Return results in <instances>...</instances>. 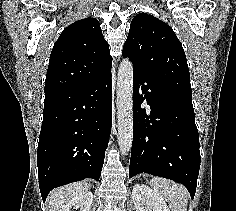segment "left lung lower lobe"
Listing matches in <instances>:
<instances>
[{"mask_svg": "<svg viewBox=\"0 0 236 211\" xmlns=\"http://www.w3.org/2000/svg\"><path fill=\"white\" fill-rule=\"evenodd\" d=\"M133 83L129 178L142 172L165 177L182 183L193 199L200 151L192 98L142 72L133 71ZM145 100L150 105V113L141 108Z\"/></svg>", "mask_w": 236, "mask_h": 211, "instance_id": "0a47b994", "label": "left lung lower lobe"}]
</instances>
